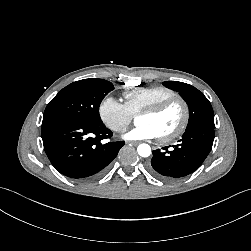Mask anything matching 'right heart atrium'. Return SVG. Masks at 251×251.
I'll return each mask as SVG.
<instances>
[{"instance_id": "right-heart-atrium-1", "label": "right heart atrium", "mask_w": 251, "mask_h": 251, "mask_svg": "<svg viewBox=\"0 0 251 251\" xmlns=\"http://www.w3.org/2000/svg\"><path fill=\"white\" fill-rule=\"evenodd\" d=\"M101 121L114 132H124L133 119L126 105L112 96L102 99L98 107Z\"/></svg>"}]
</instances>
